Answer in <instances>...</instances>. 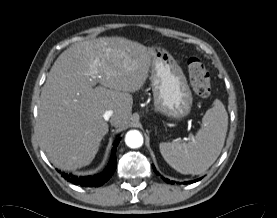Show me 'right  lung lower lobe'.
Here are the masks:
<instances>
[{
  "label": "right lung lower lobe",
  "mask_w": 277,
  "mask_h": 218,
  "mask_svg": "<svg viewBox=\"0 0 277 218\" xmlns=\"http://www.w3.org/2000/svg\"><path fill=\"white\" fill-rule=\"evenodd\" d=\"M121 138H118L112 148V152H111V157H110V161L107 165V167L105 168V170L103 172H101L100 174L94 175V176H85V177H76L73 175H68L65 173H62V176L67 179L68 181L77 184V185H81L84 187H98L103 185L108 179L111 178V176L113 175L116 166H117V162H116V149L117 146L119 144Z\"/></svg>",
  "instance_id": "obj_1"
}]
</instances>
